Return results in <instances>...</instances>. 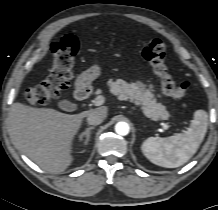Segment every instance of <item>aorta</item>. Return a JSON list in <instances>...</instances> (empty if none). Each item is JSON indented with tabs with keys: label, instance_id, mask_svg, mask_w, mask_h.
Wrapping results in <instances>:
<instances>
[{
	"label": "aorta",
	"instance_id": "aorta-1",
	"mask_svg": "<svg viewBox=\"0 0 218 210\" xmlns=\"http://www.w3.org/2000/svg\"><path fill=\"white\" fill-rule=\"evenodd\" d=\"M115 131L117 134L125 136L129 133V125L126 122H118L115 125Z\"/></svg>",
	"mask_w": 218,
	"mask_h": 210
}]
</instances>
